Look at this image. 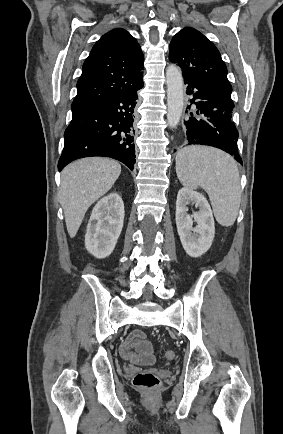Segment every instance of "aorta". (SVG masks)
<instances>
[{"label": "aorta", "instance_id": "aorta-1", "mask_svg": "<svg viewBox=\"0 0 283 434\" xmlns=\"http://www.w3.org/2000/svg\"><path fill=\"white\" fill-rule=\"evenodd\" d=\"M167 83V122L175 128L181 118L184 106V82L181 70L174 64L166 70Z\"/></svg>", "mask_w": 283, "mask_h": 434}]
</instances>
